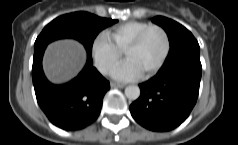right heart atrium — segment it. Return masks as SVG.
I'll return each instance as SVG.
<instances>
[{
  "mask_svg": "<svg viewBox=\"0 0 238 145\" xmlns=\"http://www.w3.org/2000/svg\"><path fill=\"white\" fill-rule=\"evenodd\" d=\"M91 56L98 71L104 75H108L120 63L122 52L105 36L98 35L92 41Z\"/></svg>",
  "mask_w": 238,
  "mask_h": 145,
  "instance_id": "1",
  "label": "right heart atrium"
}]
</instances>
